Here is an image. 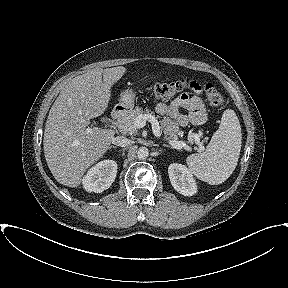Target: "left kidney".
Returning a JSON list of instances; mask_svg holds the SVG:
<instances>
[{
	"instance_id": "1",
	"label": "left kidney",
	"mask_w": 288,
	"mask_h": 288,
	"mask_svg": "<svg viewBox=\"0 0 288 288\" xmlns=\"http://www.w3.org/2000/svg\"><path fill=\"white\" fill-rule=\"evenodd\" d=\"M168 174L174 189L184 196H192L197 186L191 172L182 164L173 163L168 167Z\"/></svg>"
}]
</instances>
